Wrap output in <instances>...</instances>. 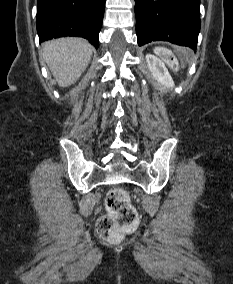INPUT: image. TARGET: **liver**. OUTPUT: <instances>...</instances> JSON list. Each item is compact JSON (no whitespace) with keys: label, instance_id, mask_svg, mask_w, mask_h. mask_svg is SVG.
<instances>
[{"label":"liver","instance_id":"1","mask_svg":"<svg viewBox=\"0 0 233 284\" xmlns=\"http://www.w3.org/2000/svg\"><path fill=\"white\" fill-rule=\"evenodd\" d=\"M42 52L58 85L67 87L87 68L93 47L82 38H59L45 42Z\"/></svg>","mask_w":233,"mask_h":284}]
</instances>
